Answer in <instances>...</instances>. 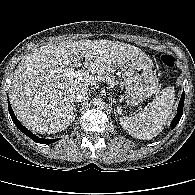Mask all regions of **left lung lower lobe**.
Segmentation results:
<instances>
[{
	"mask_svg": "<svg viewBox=\"0 0 195 195\" xmlns=\"http://www.w3.org/2000/svg\"><path fill=\"white\" fill-rule=\"evenodd\" d=\"M184 98H185V94L184 91L181 95V99L178 105V110H177V115L175 116V118L173 119V121L171 122V127L172 129H174L176 127V125L178 124V122L181 119L182 113H183V106H184Z\"/></svg>",
	"mask_w": 195,
	"mask_h": 195,
	"instance_id": "0a47b994",
	"label": "left lung lower lobe"
}]
</instances>
